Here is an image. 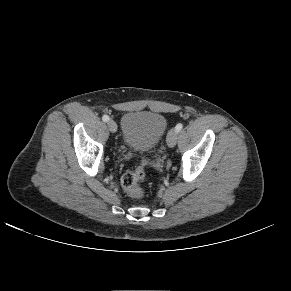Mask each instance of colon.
Segmentation results:
<instances>
[{"mask_svg": "<svg viewBox=\"0 0 291 291\" xmlns=\"http://www.w3.org/2000/svg\"><path fill=\"white\" fill-rule=\"evenodd\" d=\"M146 164L147 159L144 158L140 165L124 173L121 177L122 188L132 198L139 199L144 195V189L141 183L145 178Z\"/></svg>", "mask_w": 291, "mask_h": 291, "instance_id": "colon-1", "label": "colon"}]
</instances>
